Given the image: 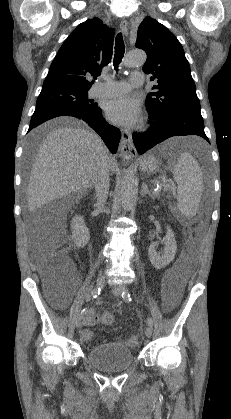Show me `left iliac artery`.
Segmentation results:
<instances>
[{
  "mask_svg": "<svg viewBox=\"0 0 231 419\" xmlns=\"http://www.w3.org/2000/svg\"><path fill=\"white\" fill-rule=\"evenodd\" d=\"M122 298L126 301V302H131V294H130V292H129V290L127 289V288H124L123 289V292H122ZM147 324H148V326H150V327H152L153 326V321H152V319L151 318H148L147 319Z\"/></svg>",
  "mask_w": 231,
  "mask_h": 419,
  "instance_id": "left-iliac-artery-1",
  "label": "left iliac artery"
}]
</instances>
